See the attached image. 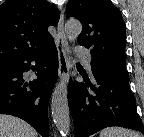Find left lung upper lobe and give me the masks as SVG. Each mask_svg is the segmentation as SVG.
<instances>
[{
    "label": "left lung upper lobe",
    "mask_w": 144,
    "mask_h": 137,
    "mask_svg": "<svg viewBox=\"0 0 144 137\" xmlns=\"http://www.w3.org/2000/svg\"><path fill=\"white\" fill-rule=\"evenodd\" d=\"M66 16L80 20L83 29L77 41L90 49L92 62L128 74L125 23L109 0H69Z\"/></svg>",
    "instance_id": "1"
}]
</instances>
